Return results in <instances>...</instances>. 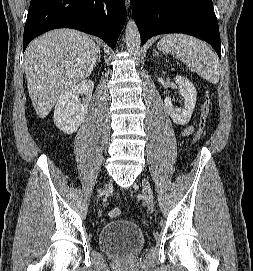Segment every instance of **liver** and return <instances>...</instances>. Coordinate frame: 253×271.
Segmentation results:
<instances>
[{"label":"liver","instance_id":"liver-1","mask_svg":"<svg viewBox=\"0 0 253 271\" xmlns=\"http://www.w3.org/2000/svg\"><path fill=\"white\" fill-rule=\"evenodd\" d=\"M100 47L85 33L55 29L34 39L25 51V74L32 105L45 118L71 86L92 73Z\"/></svg>","mask_w":253,"mask_h":271}]
</instances>
